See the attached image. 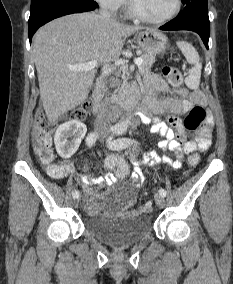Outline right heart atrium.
<instances>
[{"label": "right heart atrium", "instance_id": "1", "mask_svg": "<svg viewBox=\"0 0 233 284\" xmlns=\"http://www.w3.org/2000/svg\"><path fill=\"white\" fill-rule=\"evenodd\" d=\"M104 9L114 12L126 4V0H96Z\"/></svg>", "mask_w": 233, "mask_h": 284}]
</instances>
